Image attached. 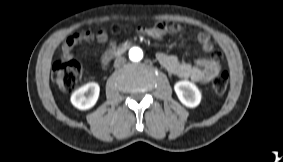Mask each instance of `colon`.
Masks as SVG:
<instances>
[{
	"label": "colon",
	"instance_id": "1",
	"mask_svg": "<svg viewBox=\"0 0 283 162\" xmlns=\"http://www.w3.org/2000/svg\"><path fill=\"white\" fill-rule=\"evenodd\" d=\"M82 73L81 64L75 60H63L56 62L53 66V79L64 90L73 89ZM229 75L227 72H221L212 83L213 90L217 94H223L227 90Z\"/></svg>",
	"mask_w": 283,
	"mask_h": 162
}]
</instances>
